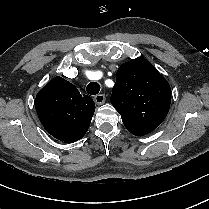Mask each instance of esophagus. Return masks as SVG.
Wrapping results in <instances>:
<instances>
[{"mask_svg":"<svg viewBox=\"0 0 209 209\" xmlns=\"http://www.w3.org/2000/svg\"><path fill=\"white\" fill-rule=\"evenodd\" d=\"M106 100L105 94H98L94 97V101L98 105H102Z\"/></svg>","mask_w":209,"mask_h":209,"instance_id":"esophagus-1","label":"esophagus"}]
</instances>
